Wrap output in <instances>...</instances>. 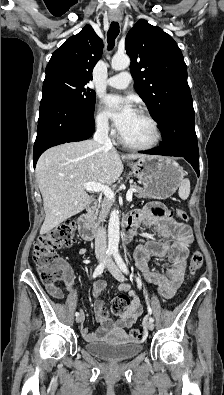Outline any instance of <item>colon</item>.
Returning <instances> with one entry per match:
<instances>
[{
  "label": "colon",
  "mask_w": 224,
  "mask_h": 395,
  "mask_svg": "<svg viewBox=\"0 0 224 395\" xmlns=\"http://www.w3.org/2000/svg\"><path fill=\"white\" fill-rule=\"evenodd\" d=\"M177 216L183 220H188V215L184 210H177ZM74 223H65L52 230L41 234L34 246L33 260L37 266L41 280L45 284H55L64 281L69 276V269L65 262L60 259L56 250L68 247L74 242ZM203 265V255L199 250L192 252L189 262V272L195 273ZM129 304V298L125 295L118 296L110 304V312L121 314ZM109 311L106 308L101 309V315L107 318ZM130 337L134 341H140L145 338V331L140 328H134L130 331Z\"/></svg>",
  "instance_id": "colon-1"
}]
</instances>
